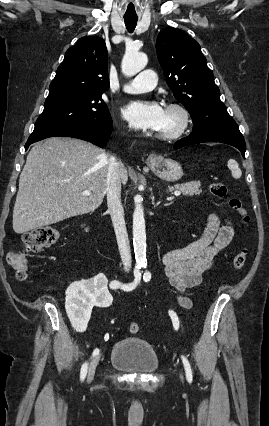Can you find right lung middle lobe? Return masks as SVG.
<instances>
[{
  "label": "right lung middle lobe",
  "mask_w": 269,
  "mask_h": 426,
  "mask_svg": "<svg viewBox=\"0 0 269 426\" xmlns=\"http://www.w3.org/2000/svg\"><path fill=\"white\" fill-rule=\"evenodd\" d=\"M101 92L61 90L49 93L43 113L29 140L80 124L105 123L111 119Z\"/></svg>",
  "instance_id": "dd1d6c3e"
}]
</instances>
